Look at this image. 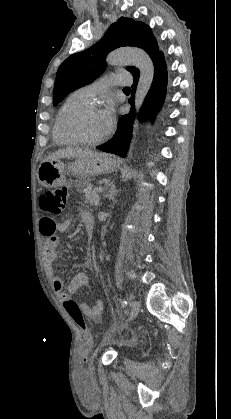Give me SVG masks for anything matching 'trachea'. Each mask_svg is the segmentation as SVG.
Returning a JSON list of instances; mask_svg holds the SVG:
<instances>
[{"mask_svg": "<svg viewBox=\"0 0 231 419\" xmlns=\"http://www.w3.org/2000/svg\"><path fill=\"white\" fill-rule=\"evenodd\" d=\"M124 90H130V88L129 87H124Z\"/></svg>", "mask_w": 231, "mask_h": 419, "instance_id": "obj_1", "label": "trachea"}]
</instances>
